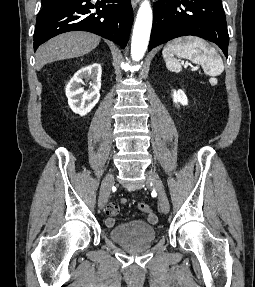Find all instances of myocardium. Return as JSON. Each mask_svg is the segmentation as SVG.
Here are the masks:
<instances>
[{
    "label": "myocardium",
    "instance_id": "obj_1",
    "mask_svg": "<svg viewBox=\"0 0 255 287\" xmlns=\"http://www.w3.org/2000/svg\"><path fill=\"white\" fill-rule=\"evenodd\" d=\"M148 39H157V38H148ZM141 48H149V47H141ZM161 48H167V47H161Z\"/></svg>",
    "mask_w": 255,
    "mask_h": 287
}]
</instances>
